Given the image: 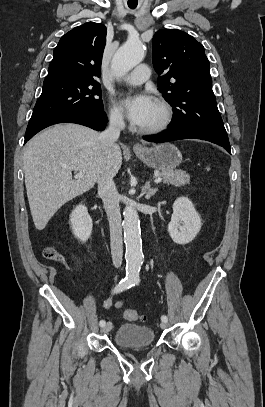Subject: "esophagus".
<instances>
[{
    "instance_id": "1",
    "label": "esophagus",
    "mask_w": 265,
    "mask_h": 407,
    "mask_svg": "<svg viewBox=\"0 0 265 407\" xmlns=\"http://www.w3.org/2000/svg\"><path fill=\"white\" fill-rule=\"evenodd\" d=\"M134 150H141L142 149V145L139 143L134 144Z\"/></svg>"
}]
</instances>
